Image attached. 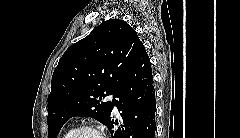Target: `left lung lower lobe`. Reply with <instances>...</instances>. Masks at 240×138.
Masks as SVG:
<instances>
[{"label": "left lung lower lobe", "mask_w": 240, "mask_h": 138, "mask_svg": "<svg viewBox=\"0 0 240 138\" xmlns=\"http://www.w3.org/2000/svg\"><path fill=\"white\" fill-rule=\"evenodd\" d=\"M113 106L123 119L116 131L113 125H118V121L114 123L110 116L106 122L113 138H154L156 99L151 63L144 46L139 48L133 65L114 95Z\"/></svg>", "instance_id": "left-lung-lower-lobe-1"}]
</instances>
